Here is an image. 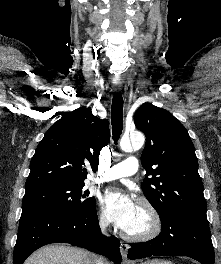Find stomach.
I'll return each mask as SVG.
<instances>
[{
    "label": "stomach",
    "mask_w": 221,
    "mask_h": 264,
    "mask_svg": "<svg viewBox=\"0 0 221 264\" xmlns=\"http://www.w3.org/2000/svg\"><path fill=\"white\" fill-rule=\"evenodd\" d=\"M142 264H174L171 261L163 260V259H153L146 262H143Z\"/></svg>",
    "instance_id": "stomach-1"
}]
</instances>
